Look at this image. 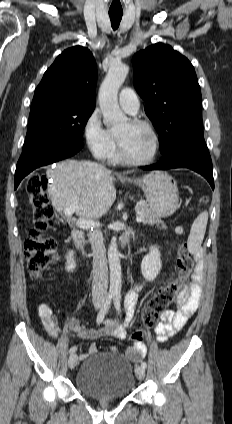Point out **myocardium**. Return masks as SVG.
<instances>
[{
	"label": "myocardium",
	"mask_w": 232,
	"mask_h": 424,
	"mask_svg": "<svg viewBox=\"0 0 232 424\" xmlns=\"http://www.w3.org/2000/svg\"><path fill=\"white\" fill-rule=\"evenodd\" d=\"M129 122L132 125L143 127V128H145L146 130L149 131V133L151 134V136L153 138V149H152L151 154L149 156H147L146 158L133 159V158L126 155L120 139L116 136L118 157H119L121 162L128 164V165H134V166L147 165V164L151 163L156 158V156L159 152V147H160L159 135H158L157 131L155 130V128L147 121L140 120V119H130Z\"/></svg>",
	"instance_id": "f54148a6"
}]
</instances>
